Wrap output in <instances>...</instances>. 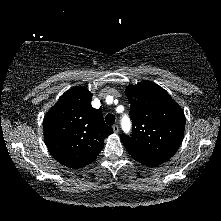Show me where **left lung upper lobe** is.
<instances>
[{
    "instance_id": "obj_1",
    "label": "left lung upper lobe",
    "mask_w": 221,
    "mask_h": 221,
    "mask_svg": "<svg viewBox=\"0 0 221 221\" xmlns=\"http://www.w3.org/2000/svg\"><path fill=\"white\" fill-rule=\"evenodd\" d=\"M131 103V137L120 139L138 162L156 167L169 160L179 148L185 127L180 106L159 85L144 80L126 87Z\"/></svg>"
}]
</instances>
